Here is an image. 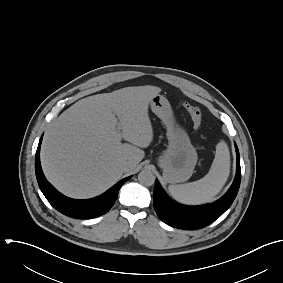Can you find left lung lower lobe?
Instances as JSON below:
<instances>
[{"instance_id":"obj_1","label":"left lung lower lobe","mask_w":283,"mask_h":283,"mask_svg":"<svg viewBox=\"0 0 283 283\" xmlns=\"http://www.w3.org/2000/svg\"><path fill=\"white\" fill-rule=\"evenodd\" d=\"M237 155V172L228 192L212 204L201 206H185L171 200L155 181L154 208L159 218L166 224L180 229H200L218 219L233 203L240 186V156L235 144Z\"/></svg>"}]
</instances>
